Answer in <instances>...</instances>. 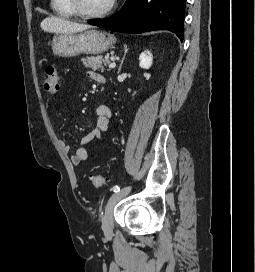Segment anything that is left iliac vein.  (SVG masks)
Wrapping results in <instances>:
<instances>
[{
    "label": "left iliac vein",
    "instance_id": "1",
    "mask_svg": "<svg viewBox=\"0 0 255 272\" xmlns=\"http://www.w3.org/2000/svg\"><path fill=\"white\" fill-rule=\"evenodd\" d=\"M130 189L131 188L129 186L125 187L122 189V191L115 192L110 196L107 202L105 214L102 218V230L106 235L111 234L113 231V227H114L113 212H114L115 205L122 197H124L130 192Z\"/></svg>",
    "mask_w": 255,
    "mask_h": 272
}]
</instances>
